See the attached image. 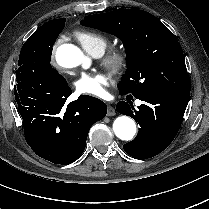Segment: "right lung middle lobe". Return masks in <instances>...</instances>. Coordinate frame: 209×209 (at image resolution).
Returning <instances> with one entry per match:
<instances>
[{"label": "right lung middle lobe", "instance_id": "1", "mask_svg": "<svg viewBox=\"0 0 209 209\" xmlns=\"http://www.w3.org/2000/svg\"><path fill=\"white\" fill-rule=\"evenodd\" d=\"M65 21V18H61L45 23L24 43L19 55L16 78L27 72H35L51 79L66 81L50 64L52 47L63 30Z\"/></svg>", "mask_w": 209, "mask_h": 209}]
</instances>
